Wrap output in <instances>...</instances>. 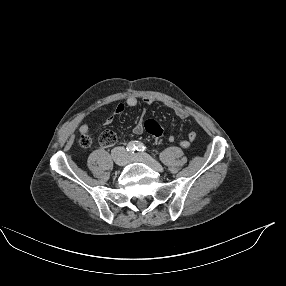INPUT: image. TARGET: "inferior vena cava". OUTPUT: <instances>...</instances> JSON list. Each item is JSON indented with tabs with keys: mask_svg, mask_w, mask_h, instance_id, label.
I'll list each match as a JSON object with an SVG mask.
<instances>
[{
	"mask_svg": "<svg viewBox=\"0 0 286 286\" xmlns=\"http://www.w3.org/2000/svg\"><path fill=\"white\" fill-rule=\"evenodd\" d=\"M116 151H119V152H121L122 154H126V151H125V149H124L123 147H118V148H116Z\"/></svg>",
	"mask_w": 286,
	"mask_h": 286,
	"instance_id": "inferior-vena-cava-1",
	"label": "inferior vena cava"
}]
</instances>
